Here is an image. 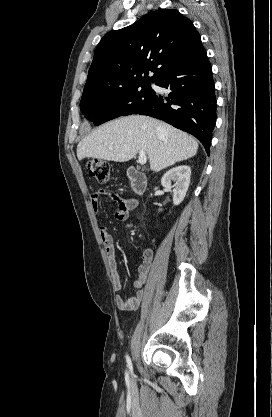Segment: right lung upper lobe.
<instances>
[{
  "mask_svg": "<svg viewBox=\"0 0 272 417\" xmlns=\"http://www.w3.org/2000/svg\"><path fill=\"white\" fill-rule=\"evenodd\" d=\"M201 44L193 23L177 10L153 11L101 39L83 94H106L155 81ZM149 71L154 73L152 77H148Z\"/></svg>",
  "mask_w": 272,
  "mask_h": 417,
  "instance_id": "1",
  "label": "right lung upper lobe"
}]
</instances>
